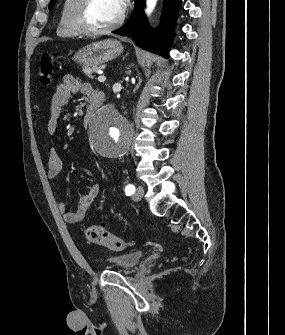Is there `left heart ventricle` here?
Here are the masks:
<instances>
[{
    "label": "left heart ventricle",
    "mask_w": 285,
    "mask_h": 335,
    "mask_svg": "<svg viewBox=\"0 0 285 335\" xmlns=\"http://www.w3.org/2000/svg\"><path fill=\"white\" fill-rule=\"evenodd\" d=\"M121 1H92L88 19L92 26L103 28L112 24L120 12Z\"/></svg>",
    "instance_id": "1"
}]
</instances>
